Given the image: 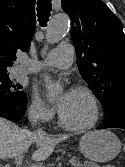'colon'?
<instances>
[{
    "mask_svg": "<svg viewBox=\"0 0 125 167\" xmlns=\"http://www.w3.org/2000/svg\"><path fill=\"white\" fill-rule=\"evenodd\" d=\"M123 152L125 153V143L123 144Z\"/></svg>",
    "mask_w": 125,
    "mask_h": 167,
    "instance_id": "colon-1",
    "label": "colon"
}]
</instances>
